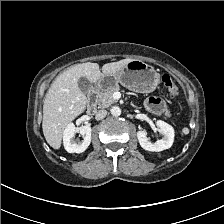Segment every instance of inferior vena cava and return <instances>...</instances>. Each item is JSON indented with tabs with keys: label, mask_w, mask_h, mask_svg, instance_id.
<instances>
[{
	"label": "inferior vena cava",
	"mask_w": 224,
	"mask_h": 224,
	"mask_svg": "<svg viewBox=\"0 0 224 224\" xmlns=\"http://www.w3.org/2000/svg\"><path fill=\"white\" fill-rule=\"evenodd\" d=\"M107 115V111L104 109L98 110L95 114V119L96 120H101L104 119Z\"/></svg>",
	"instance_id": "inferior-vena-cava-1"
}]
</instances>
